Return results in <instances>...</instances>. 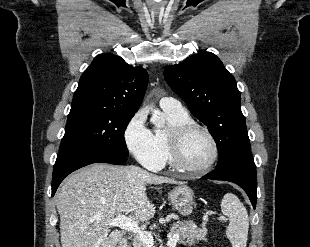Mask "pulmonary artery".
Segmentation results:
<instances>
[{
  "instance_id": "pulmonary-artery-1",
  "label": "pulmonary artery",
  "mask_w": 310,
  "mask_h": 247,
  "mask_svg": "<svg viewBox=\"0 0 310 247\" xmlns=\"http://www.w3.org/2000/svg\"><path fill=\"white\" fill-rule=\"evenodd\" d=\"M160 106L163 110H168L176 113L187 112L184 106L173 97H163L160 100Z\"/></svg>"
}]
</instances>
